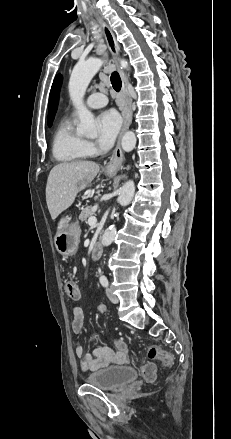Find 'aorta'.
Listing matches in <instances>:
<instances>
[{
    "label": "aorta",
    "instance_id": "762f6f07",
    "mask_svg": "<svg viewBox=\"0 0 231 439\" xmlns=\"http://www.w3.org/2000/svg\"><path fill=\"white\" fill-rule=\"evenodd\" d=\"M102 64L103 60L99 58H89L84 62H79L74 66L69 80L68 89L70 99L77 109L79 117L77 132L80 135L87 137L96 136L97 128L93 114L86 108L84 104V95L91 79L98 72ZM120 65L122 68L128 69V63L126 60L121 59ZM136 141L137 140L134 132H126L121 142L123 150L126 152L132 151L136 145ZM134 193V182L129 180L122 186L120 190L118 203L121 206L129 205L133 199ZM115 235L116 227L114 225L108 227L101 238L102 245L109 246L113 242Z\"/></svg>",
    "mask_w": 231,
    "mask_h": 439
}]
</instances>
